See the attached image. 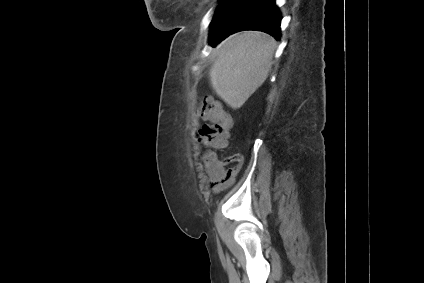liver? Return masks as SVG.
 <instances>
[{
    "label": "liver",
    "mask_w": 424,
    "mask_h": 283,
    "mask_svg": "<svg viewBox=\"0 0 424 283\" xmlns=\"http://www.w3.org/2000/svg\"><path fill=\"white\" fill-rule=\"evenodd\" d=\"M276 41L261 31H244L218 44L209 71L216 94L233 109L240 108L271 70Z\"/></svg>",
    "instance_id": "obj_1"
}]
</instances>
